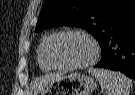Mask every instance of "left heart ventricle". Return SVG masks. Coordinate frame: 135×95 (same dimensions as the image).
<instances>
[{"mask_svg":"<svg viewBox=\"0 0 135 95\" xmlns=\"http://www.w3.org/2000/svg\"><path fill=\"white\" fill-rule=\"evenodd\" d=\"M93 54L90 42L78 35L60 37L54 44V60L63 65H76L87 61Z\"/></svg>","mask_w":135,"mask_h":95,"instance_id":"1","label":"left heart ventricle"}]
</instances>
